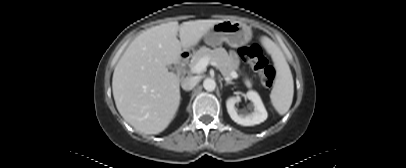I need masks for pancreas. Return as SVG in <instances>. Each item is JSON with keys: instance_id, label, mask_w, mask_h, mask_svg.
Here are the masks:
<instances>
[{"instance_id": "pancreas-1", "label": "pancreas", "mask_w": 406, "mask_h": 168, "mask_svg": "<svg viewBox=\"0 0 406 168\" xmlns=\"http://www.w3.org/2000/svg\"><path fill=\"white\" fill-rule=\"evenodd\" d=\"M203 57H209L210 62H212L214 66L220 70L224 77H231V73L236 72L238 69L231 56L222 47L214 50L206 47L200 48L194 54L190 66L193 67ZM245 84L248 87L251 86V83L247 78H245Z\"/></svg>"}]
</instances>
